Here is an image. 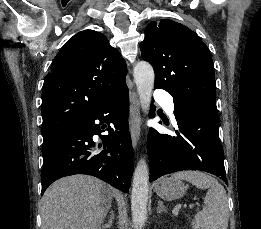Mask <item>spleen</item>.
I'll use <instances>...</instances> for the list:
<instances>
[{"mask_svg":"<svg viewBox=\"0 0 261 229\" xmlns=\"http://www.w3.org/2000/svg\"><path fill=\"white\" fill-rule=\"evenodd\" d=\"M171 177L188 181L197 189H208L204 201L206 207L195 217L200 229H227L229 209L226 191L216 179L200 171H181V173H174Z\"/></svg>","mask_w":261,"mask_h":229,"instance_id":"spleen-1","label":"spleen"}]
</instances>
